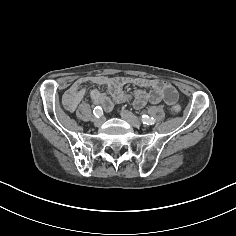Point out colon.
<instances>
[{"label": "colon", "instance_id": "obj_1", "mask_svg": "<svg viewBox=\"0 0 236 236\" xmlns=\"http://www.w3.org/2000/svg\"><path fill=\"white\" fill-rule=\"evenodd\" d=\"M180 112V107L178 105H174L170 108V113L173 115H177Z\"/></svg>", "mask_w": 236, "mask_h": 236}]
</instances>
